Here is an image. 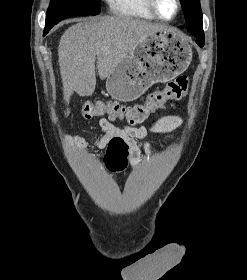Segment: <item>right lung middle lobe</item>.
<instances>
[{
	"label": "right lung middle lobe",
	"instance_id": "obj_1",
	"mask_svg": "<svg viewBox=\"0 0 247 280\" xmlns=\"http://www.w3.org/2000/svg\"><path fill=\"white\" fill-rule=\"evenodd\" d=\"M100 0H51L46 14V27L52 28L61 20L78 15L100 13Z\"/></svg>",
	"mask_w": 247,
	"mask_h": 280
}]
</instances>
